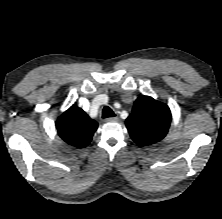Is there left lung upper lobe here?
<instances>
[{
	"label": "left lung upper lobe",
	"instance_id": "5c2ea615",
	"mask_svg": "<svg viewBox=\"0 0 222 219\" xmlns=\"http://www.w3.org/2000/svg\"><path fill=\"white\" fill-rule=\"evenodd\" d=\"M171 122L169 107L149 96H141L135 102L132 113L126 119L131 138L141 146L163 139Z\"/></svg>",
	"mask_w": 222,
	"mask_h": 219
}]
</instances>
